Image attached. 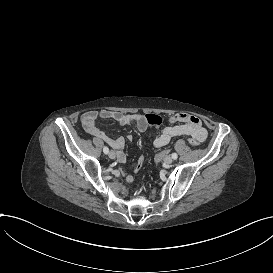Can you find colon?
<instances>
[{
    "instance_id": "colon-1",
    "label": "colon",
    "mask_w": 273,
    "mask_h": 273,
    "mask_svg": "<svg viewBox=\"0 0 273 273\" xmlns=\"http://www.w3.org/2000/svg\"><path fill=\"white\" fill-rule=\"evenodd\" d=\"M144 119L148 124H150L152 126H161L164 121L163 117L159 114H156V113H146V114H144ZM145 160H146L145 154H140L138 156L137 165L135 167V170L137 172H140L143 170Z\"/></svg>"
}]
</instances>
